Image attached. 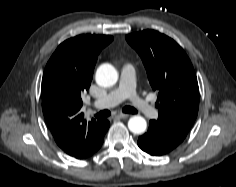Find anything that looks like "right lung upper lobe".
Instances as JSON below:
<instances>
[{
	"label": "right lung upper lobe",
	"mask_w": 236,
	"mask_h": 187,
	"mask_svg": "<svg viewBox=\"0 0 236 187\" xmlns=\"http://www.w3.org/2000/svg\"><path fill=\"white\" fill-rule=\"evenodd\" d=\"M109 35H79L61 43L42 79V109L58 146L78 159L91 156L104 135L105 120L86 122L82 94L90 87L97 56Z\"/></svg>",
	"instance_id": "cb5924a9"
}]
</instances>
